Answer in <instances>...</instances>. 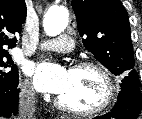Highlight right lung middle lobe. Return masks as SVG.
Here are the masks:
<instances>
[{"label":"right lung middle lobe","mask_w":142,"mask_h":119,"mask_svg":"<svg viewBox=\"0 0 142 119\" xmlns=\"http://www.w3.org/2000/svg\"><path fill=\"white\" fill-rule=\"evenodd\" d=\"M19 81L18 70L7 50H0V88L11 89Z\"/></svg>","instance_id":"right-lung-middle-lobe-1"}]
</instances>
